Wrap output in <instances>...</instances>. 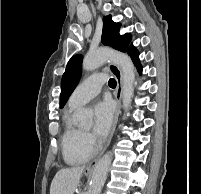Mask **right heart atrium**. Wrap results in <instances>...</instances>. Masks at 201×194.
<instances>
[{"instance_id":"1","label":"right heart atrium","mask_w":201,"mask_h":194,"mask_svg":"<svg viewBox=\"0 0 201 194\" xmlns=\"http://www.w3.org/2000/svg\"><path fill=\"white\" fill-rule=\"evenodd\" d=\"M84 144L89 148L93 149L95 145L94 138L89 133H84L83 135Z\"/></svg>"}]
</instances>
